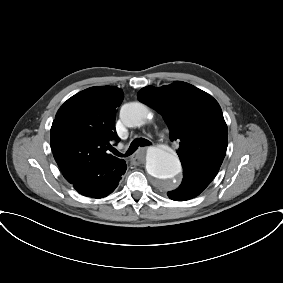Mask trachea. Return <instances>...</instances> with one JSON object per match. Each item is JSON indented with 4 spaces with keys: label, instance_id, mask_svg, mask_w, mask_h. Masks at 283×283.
Returning a JSON list of instances; mask_svg holds the SVG:
<instances>
[{
    "label": "trachea",
    "instance_id": "1",
    "mask_svg": "<svg viewBox=\"0 0 283 283\" xmlns=\"http://www.w3.org/2000/svg\"><path fill=\"white\" fill-rule=\"evenodd\" d=\"M152 143L147 140V139H144V138H138V139H134L132 141V143L130 144V147L128 149V151L125 153V154H122L120 152H118L117 150H113L112 152L116 155V156H119V157H127V156H130L131 154H133L137 149L138 147H144V146H149L151 145Z\"/></svg>",
    "mask_w": 283,
    "mask_h": 283
}]
</instances>
